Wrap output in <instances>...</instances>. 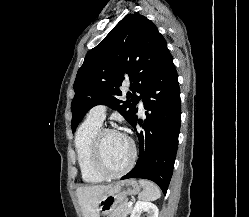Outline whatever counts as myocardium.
Wrapping results in <instances>:
<instances>
[{
    "label": "myocardium",
    "mask_w": 249,
    "mask_h": 217,
    "mask_svg": "<svg viewBox=\"0 0 249 217\" xmlns=\"http://www.w3.org/2000/svg\"><path fill=\"white\" fill-rule=\"evenodd\" d=\"M118 132V130L109 127H101L94 136L92 143V164L97 173L103 176L105 179H115L125 175L135 164L137 151L136 146L133 140L125 134H122L129 146H130V159L126 166L119 171H111L109 170L103 160L102 154V140L105 134Z\"/></svg>",
    "instance_id": "f54148a6"
}]
</instances>
